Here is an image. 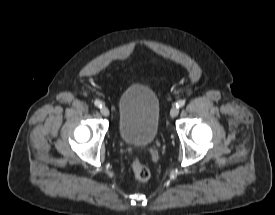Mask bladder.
I'll use <instances>...</instances> for the list:
<instances>
[{
  "label": "bladder",
  "instance_id": "bladder-1",
  "mask_svg": "<svg viewBox=\"0 0 275 215\" xmlns=\"http://www.w3.org/2000/svg\"><path fill=\"white\" fill-rule=\"evenodd\" d=\"M118 132L121 140L134 146H149L157 136L160 104L147 86L131 85L118 99Z\"/></svg>",
  "mask_w": 275,
  "mask_h": 215
}]
</instances>
